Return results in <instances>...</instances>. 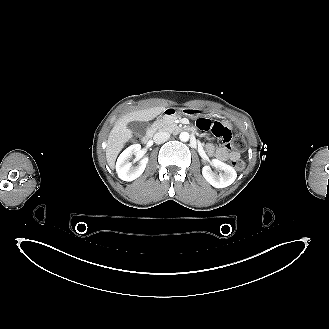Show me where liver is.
<instances>
[{
  "label": "liver",
  "instance_id": "6515ba94",
  "mask_svg": "<svg viewBox=\"0 0 329 329\" xmlns=\"http://www.w3.org/2000/svg\"><path fill=\"white\" fill-rule=\"evenodd\" d=\"M164 111V106L136 110L127 113L117 120L116 124L110 131L106 147V160L111 169H114L116 158L121 149L133 136L131 130L127 128V124L131 121L148 122Z\"/></svg>",
  "mask_w": 329,
  "mask_h": 329
}]
</instances>
